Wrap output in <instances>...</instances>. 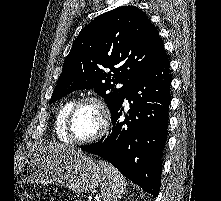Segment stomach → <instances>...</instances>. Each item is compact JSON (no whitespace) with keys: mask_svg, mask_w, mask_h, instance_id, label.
Returning <instances> with one entry per match:
<instances>
[{"mask_svg":"<svg viewBox=\"0 0 221 201\" xmlns=\"http://www.w3.org/2000/svg\"><path fill=\"white\" fill-rule=\"evenodd\" d=\"M21 177L27 183H59L83 193L98 187L105 179L103 168L80 151L56 152L42 148L25 160Z\"/></svg>","mask_w":221,"mask_h":201,"instance_id":"obj_1","label":"stomach"}]
</instances>
